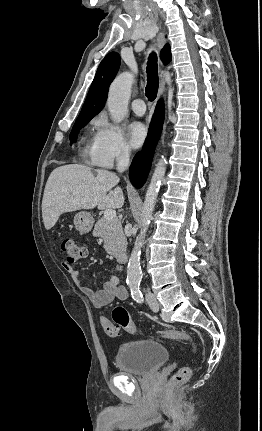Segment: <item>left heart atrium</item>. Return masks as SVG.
Listing matches in <instances>:
<instances>
[{"instance_id":"39dd6f15","label":"left heart atrium","mask_w":262,"mask_h":431,"mask_svg":"<svg viewBox=\"0 0 262 431\" xmlns=\"http://www.w3.org/2000/svg\"><path fill=\"white\" fill-rule=\"evenodd\" d=\"M146 135L147 130L143 123L135 121L129 125L127 137L132 148L141 147L146 139Z\"/></svg>"}]
</instances>
